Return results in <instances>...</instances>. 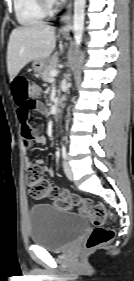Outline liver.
I'll return each mask as SVG.
<instances>
[{
	"label": "liver",
	"instance_id": "liver-1",
	"mask_svg": "<svg viewBox=\"0 0 134 281\" xmlns=\"http://www.w3.org/2000/svg\"><path fill=\"white\" fill-rule=\"evenodd\" d=\"M55 46V28L43 22L14 29L7 48V69L10 80H13L29 62L48 59Z\"/></svg>",
	"mask_w": 134,
	"mask_h": 281
}]
</instances>
